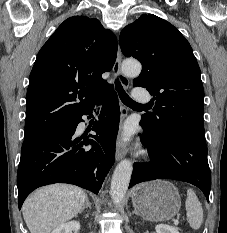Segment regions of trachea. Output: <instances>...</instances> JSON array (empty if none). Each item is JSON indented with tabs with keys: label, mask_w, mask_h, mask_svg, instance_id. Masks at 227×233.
<instances>
[{
	"label": "trachea",
	"mask_w": 227,
	"mask_h": 233,
	"mask_svg": "<svg viewBox=\"0 0 227 233\" xmlns=\"http://www.w3.org/2000/svg\"><path fill=\"white\" fill-rule=\"evenodd\" d=\"M115 88L119 94V97L121 99V101L127 105V106H142L144 107L145 105L139 104L137 102H135L134 100H132L129 95L125 92V90L123 89L121 83L119 80H115Z\"/></svg>",
	"instance_id": "1"
}]
</instances>
